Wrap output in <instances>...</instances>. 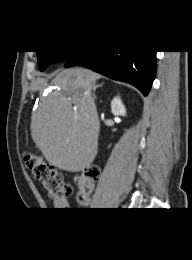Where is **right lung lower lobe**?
Segmentation results:
<instances>
[{
  "label": "right lung lower lobe",
  "mask_w": 192,
  "mask_h": 260,
  "mask_svg": "<svg viewBox=\"0 0 192 260\" xmlns=\"http://www.w3.org/2000/svg\"><path fill=\"white\" fill-rule=\"evenodd\" d=\"M156 51H77L65 67L81 65L109 78L129 82L143 95L150 91L156 72Z\"/></svg>",
  "instance_id": "obj_1"
}]
</instances>
